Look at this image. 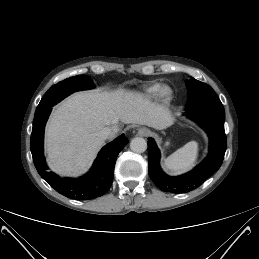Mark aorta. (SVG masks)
Masks as SVG:
<instances>
[{"instance_id":"obj_1","label":"aorta","mask_w":259,"mask_h":259,"mask_svg":"<svg viewBox=\"0 0 259 259\" xmlns=\"http://www.w3.org/2000/svg\"><path fill=\"white\" fill-rule=\"evenodd\" d=\"M130 149L135 153H143L147 149V142L142 137H135L130 142Z\"/></svg>"}]
</instances>
